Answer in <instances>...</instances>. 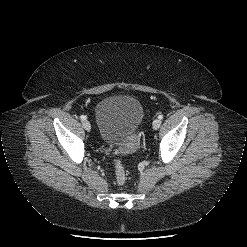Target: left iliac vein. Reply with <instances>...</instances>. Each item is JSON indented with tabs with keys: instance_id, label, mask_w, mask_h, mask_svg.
Instances as JSON below:
<instances>
[{
	"instance_id": "4c4485c4",
	"label": "left iliac vein",
	"mask_w": 247,
	"mask_h": 247,
	"mask_svg": "<svg viewBox=\"0 0 247 247\" xmlns=\"http://www.w3.org/2000/svg\"><path fill=\"white\" fill-rule=\"evenodd\" d=\"M153 128L155 129V130H157L159 127H160V125H161V120L160 119H155L154 121H153Z\"/></svg>"
}]
</instances>
